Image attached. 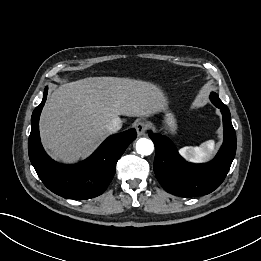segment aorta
<instances>
[{
	"instance_id": "obj_1",
	"label": "aorta",
	"mask_w": 261,
	"mask_h": 261,
	"mask_svg": "<svg viewBox=\"0 0 261 261\" xmlns=\"http://www.w3.org/2000/svg\"><path fill=\"white\" fill-rule=\"evenodd\" d=\"M154 150V144L147 138H140L136 143V151L138 154L148 156L152 154Z\"/></svg>"
}]
</instances>
